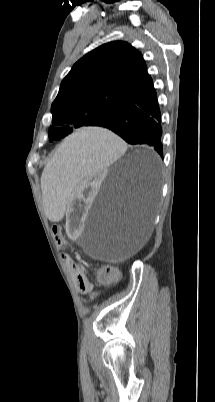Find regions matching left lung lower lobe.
Wrapping results in <instances>:
<instances>
[{"mask_svg":"<svg viewBox=\"0 0 215 402\" xmlns=\"http://www.w3.org/2000/svg\"><path fill=\"white\" fill-rule=\"evenodd\" d=\"M96 126L118 134L129 144L152 146L163 157L161 113L151 77L138 92ZM155 192L149 194L152 203Z\"/></svg>","mask_w":215,"mask_h":402,"instance_id":"obj_1","label":"left lung lower lobe"}]
</instances>
